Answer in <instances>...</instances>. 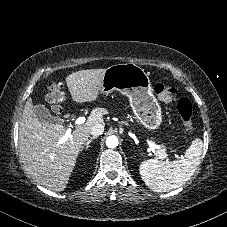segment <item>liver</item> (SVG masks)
I'll return each instance as SVG.
<instances>
[{
    "instance_id": "1",
    "label": "liver",
    "mask_w": 227,
    "mask_h": 227,
    "mask_svg": "<svg viewBox=\"0 0 227 227\" xmlns=\"http://www.w3.org/2000/svg\"><path fill=\"white\" fill-rule=\"evenodd\" d=\"M106 69H87L66 77L70 95L76 103H91L99 98ZM105 110L95 108L87 121L78 125L65 138L66 128L60 123L39 121L33 113L32 99L25 104L19 123V152L26 172L49 190L63 191L75 167L76 159L88 141L91 127L103 124Z\"/></svg>"
}]
</instances>
